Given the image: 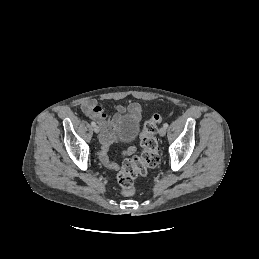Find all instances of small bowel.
Masks as SVG:
<instances>
[{"mask_svg":"<svg viewBox=\"0 0 259 259\" xmlns=\"http://www.w3.org/2000/svg\"><path fill=\"white\" fill-rule=\"evenodd\" d=\"M81 109L87 117L95 120L101 128V136H100V141L102 143V150L100 153L101 162L108 169L117 170L118 164L114 160H111L108 157L107 151H108L109 145L115 140V137H116V132L118 130V122H119L118 115H114V116L109 115L107 113V110L103 107V105L100 104L95 99L85 100L81 105ZM116 110L118 113H124L126 110H128L134 121H139L142 115V109L140 105L137 103H132L127 107L124 105H117ZM134 152H135V147L130 146L124 152V155H131Z\"/></svg>","mask_w":259,"mask_h":259,"instance_id":"c3829d8e","label":"small bowel"}]
</instances>
